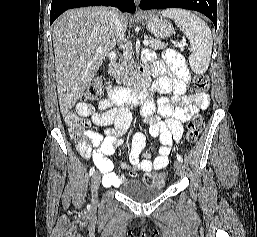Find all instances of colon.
Wrapping results in <instances>:
<instances>
[{"label": "colon", "mask_w": 257, "mask_h": 237, "mask_svg": "<svg viewBox=\"0 0 257 237\" xmlns=\"http://www.w3.org/2000/svg\"><path fill=\"white\" fill-rule=\"evenodd\" d=\"M191 88L193 91L203 93L209 88V78L206 75H196L193 79ZM103 94V87L99 80H94L87 87L85 99L95 101L100 99ZM64 121L68 127L69 134L72 138L82 141V135L90 128V122L81 118L74 112L66 113ZM204 127V120L200 115L192 116L186 125V139L189 143H194L198 139ZM165 181L164 173H149L144 177V182L151 185H162Z\"/></svg>", "instance_id": "1"}]
</instances>
